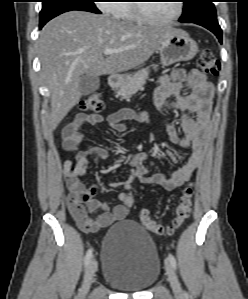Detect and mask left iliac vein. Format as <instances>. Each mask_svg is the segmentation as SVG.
Listing matches in <instances>:
<instances>
[{
    "label": "left iliac vein",
    "mask_w": 248,
    "mask_h": 299,
    "mask_svg": "<svg viewBox=\"0 0 248 299\" xmlns=\"http://www.w3.org/2000/svg\"><path fill=\"white\" fill-rule=\"evenodd\" d=\"M166 272L168 276V280L170 282V285L172 287V290L176 296H181L182 295V289L180 286V283L178 281V278L176 276V273L172 267V265L167 261L166 262Z\"/></svg>",
    "instance_id": "4c4485c4"
}]
</instances>
